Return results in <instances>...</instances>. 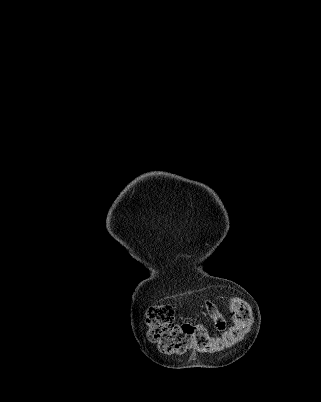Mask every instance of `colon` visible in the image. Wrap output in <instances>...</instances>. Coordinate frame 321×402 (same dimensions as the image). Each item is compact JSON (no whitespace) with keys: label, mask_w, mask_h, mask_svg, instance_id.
<instances>
[{"label":"colon","mask_w":321,"mask_h":402,"mask_svg":"<svg viewBox=\"0 0 321 402\" xmlns=\"http://www.w3.org/2000/svg\"><path fill=\"white\" fill-rule=\"evenodd\" d=\"M230 312L233 324L223 333L214 335L203 325L175 322V311L171 305H156L147 312L148 336L165 353L181 354L190 350L219 352L238 342L252 324L251 310L243 299L234 297Z\"/></svg>","instance_id":"colon-1"}]
</instances>
